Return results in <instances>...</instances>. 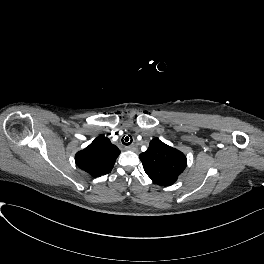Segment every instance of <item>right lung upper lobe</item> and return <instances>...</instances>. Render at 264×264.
Here are the masks:
<instances>
[{
	"instance_id": "obj_1",
	"label": "right lung upper lobe",
	"mask_w": 264,
	"mask_h": 264,
	"mask_svg": "<svg viewBox=\"0 0 264 264\" xmlns=\"http://www.w3.org/2000/svg\"><path fill=\"white\" fill-rule=\"evenodd\" d=\"M119 154V149L101 135L85 149L76 153L75 160L80 169L92 177H99L111 172Z\"/></svg>"
}]
</instances>
